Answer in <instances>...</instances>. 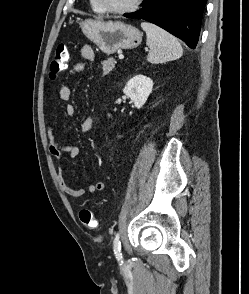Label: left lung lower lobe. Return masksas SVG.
Returning <instances> with one entry per match:
<instances>
[{
    "label": "left lung lower lobe",
    "instance_id": "obj_1",
    "mask_svg": "<svg viewBox=\"0 0 249 294\" xmlns=\"http://www.w3.org/2000/svg\"><path fill=\"white\" fill-rule=\"evenodd\" d=\"M207 0H144V7L125 17L154 23L183 40L190 48L197 45Z\"/></svg>",
    "mask_w": 249,
    "mask_h": 294
}]
</instances>
